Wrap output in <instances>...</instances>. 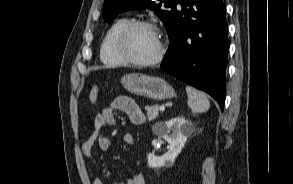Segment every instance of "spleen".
<instances>
[{"label":"spleen","instance_id":"spleen-1","mask_svg":"<svg viewBox=\"0 0 293 184\" xmlns=\"http://www.w3.org/2000/svg\"><path fill=\"white\" fill-rule=\"evenodd\" d=\"M188 95V106L193 113H203L210 108V102L202 91H198L190 86H186Z\"/></svg>","mask_w":293,"mask_h":184}]
</instances>
